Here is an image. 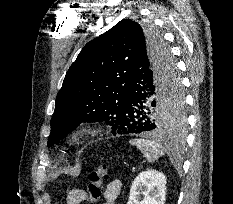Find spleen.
I'll use <instances>...</instances> for the list:
<instances>
[{"label":"spleen","mask_w":233,"mask_h":204,"mask_svg":"<svg viewBox=\"0 0 233 204\" xmlns=\"http://www.w3.org/2000/svg\"><path fill=\"white\" fill-rule=\"evenodd\" d=\"M130 144L136 146L150 163L157 161L167 151H172L174 155L178 153L177 148H165L160 143L149 139H132Z\"/></svg>","instance_id":"obj_1"}]
</instances>
